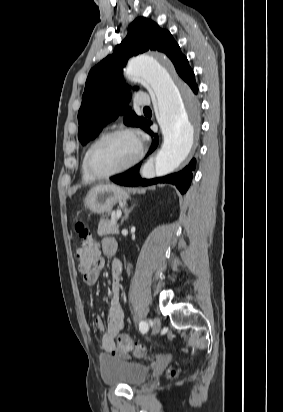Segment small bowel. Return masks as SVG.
<instances>
[{
  "instance_id": "obj_1",
  "label": "small bowel",
  "mask_w": 283,
  "mask_h": 412,
  "mask_svg": "<svg viewBox=\"0 0 283 412\" xmlns=\"http://www.w3.org/2000/svg\"><path fill=\"white\" fill-rule=\"evenodd\" d=\"M112 245H117L116 241L112 238H104L102 240V250L105 254H113L110 251ZM98 256L96 260L91 264L88 270L84 271V279L88 285H94L97 283L100 272L104 267V258L100 255L99 247L97 246ZM122 265L118 260L112 262L111 267V300L108 309L107 316V331L102 335L100 339V345L103 355L121 357L125 354L116 349L115 338L124 327V310L120 303V291H121V279H122ZM95 326L99 330H104L105 325L101 318L95 319Z\"/></svg>"
}]
</instances>
